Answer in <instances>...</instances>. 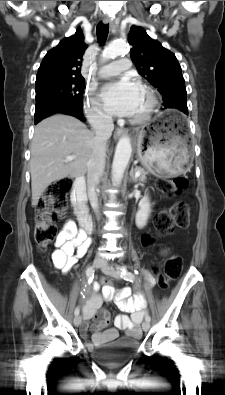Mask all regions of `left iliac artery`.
<instances>
[{
    "label": "left iliac artery",
    "mask_w": 225,
    "mask_h": 395,
    "mask_svg": "<svg viewBox=\"0 0 225 395\" xmlns=\"http://www.w3.org/2000/svg\"><path fill=\"white\" fill-rule=\"evenodd\" d=\"M121 277H123V279L130 281V282H133L135 280V275L133 273H131L129 271H125V270H123L121 272ZM145 320L148 322L151 321V317L149 316V314H146Z\"/></svg>",
    "instance_id": "44dca946"
}]
</instances>
